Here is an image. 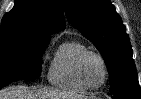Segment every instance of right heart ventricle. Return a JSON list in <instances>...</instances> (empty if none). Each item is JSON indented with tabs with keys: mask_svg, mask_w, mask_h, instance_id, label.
I'll list each match as a JSON object with an SVG mask.
<instances>
[{
	"mask_svg": "<svg viewBox=\"0 0 141 99\" xmlns=\"http://www.w3.org/2000/svg\"><path fill=\"white\" fill-rule=\"evenodd\" d=\"M86 50V46L76 39L61 43L56 49L48 68L49 82L59 89L70 92L81 93L88 90L77 75L79 57Z\"/></svg>",
	"mask_w": 141,
	"mask_h": 99,
	"instance_id": "1",
	"label": "right heart ventricle"
}]
</instances>
